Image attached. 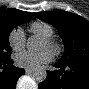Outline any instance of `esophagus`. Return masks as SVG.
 <instances>
[{
  "label": "esophagus",
  "mask_w": 89,
  "mask_h": 89,
  "mask_svg": "<svg viewBox=\"0 0 89 89\" xmlns=\"http://www.w3.org/2000/svg\"><path fill=\"white\" fill-rule=\"evenodd\" d=\"M25 72H26L27 74H30V73L33 72V69H31V68H27V69H25Z\"/></svg>",
  "instance_id": "esophagus-1"
}]
</instances>
